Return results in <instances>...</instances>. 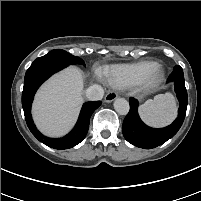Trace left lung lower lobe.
Masks as SVG:
<instances>
[{"label":"left lung lower lobe","instance_id":"0a47b994","mask_svg":"<svg viewBox=\"0 0 201 201\" xmlns=\"http://www.w3.org/2000/svg\"><path fill=\"white\" fill-rule=\"evenodd\" d=\"M168 82L174 83L175 92L180 102L178 117L171 125L165 128L154 129L148 127L139 118L137 111L138 101L135 98H130V111L123 121L122 132L125 139L132 145L143 149L155 148L172 138L182 126L186 115L188 97L183 70L179 65L174 67Z\"/></svg>","mask_w":201,"mask_h":201}]
</instances>
